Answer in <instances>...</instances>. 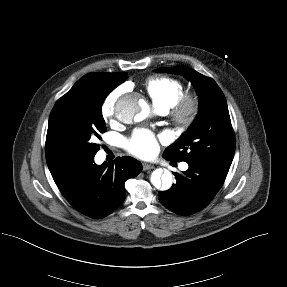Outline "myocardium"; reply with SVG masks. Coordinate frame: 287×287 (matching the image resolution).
I'll return each mask as SVG.
<instances>
[{"mask_svg":"<svg viewBox=\"0 0 287 287\" xmlns=\"http://www.w3.org/2000/svg\"><path fill=\"white\" fill-rule=\"evenodd\" d=\"M200 111V100L194 93L183 94L170 108L171 121L179 128L187 129L196 121Z\"/></svg>","mask_w":287,"mask_h":287,"instance_id":"1","label":"myocardium"}]
</instances>
